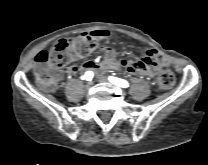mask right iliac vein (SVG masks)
<instances>
[{"mask_svg":"<svg viewBox=\"0 0 208 165\" xmlns=\"http://www.w3.org/2000/svg\"><path fill=\"white\" fill-rule=\"evenodd\" d=\"M85 87L86 90H90L93 87V82H88Z\"/></svg>","mask_w":208,"mask_h":165,"instance_id":"obj_1","label":"right iliac vein"}]
</instances>
